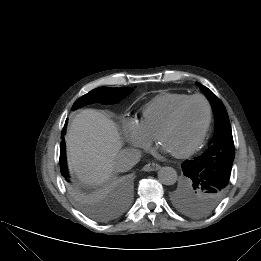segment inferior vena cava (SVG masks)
<instances>
[{
    "instance_id": "obj_1",
    "label": "inferior vena cava",
    "mask_w": 261,
    "mask_h": 261,
    "mask_svg": "<svg viewBox=\"0 0 261 261\" xmlns=\"http://www.w3.org/2000/svg\"><path fill=\"white\" fill-rule=\"evenodd\" d=\"M141 159V152L137 149H122L114 158L113 167L119 172H126L135 166Z\"/></svg>"
}]
</instances>
